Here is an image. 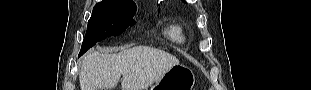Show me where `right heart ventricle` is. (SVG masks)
Masks as SVG:
<instances>
[{"label": "right heart ventricle", "instance_id": "obj_1", "mask_svg": "<svg viewBox=\"0 0 311 90\" xmlns=\"http://www.w3.org/2000/svg\"><path fill=\"white\" fill-rule=\"evenodd\" d=\"M164 34L174 42L183 43L185 40V31L183 26L177 22H169L164 29Z\"/></svg>", "mask_w": 311, "mask_h": 90}]
</instances>
